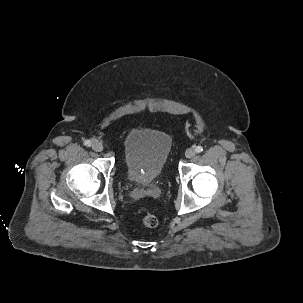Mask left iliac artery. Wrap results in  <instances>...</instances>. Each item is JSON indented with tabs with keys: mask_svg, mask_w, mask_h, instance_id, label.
<instances>
[{
	"mask_svg": "<svg viewBox=\"0 0 303 303\" xmlns=\"http://www.w3.org/2000/svg\"><path fill=\"white\" fill-rule=\"evenodd\" d=\"M195 151H196L197 153H201V152L203 151V147H202V146H197V147L195 148Z\"/></svg>",
	"mask_w": 303,
	"mask_h": 303,
	"instance_id": "1",
	"label": "left iliac artery"
}]
</instances>
